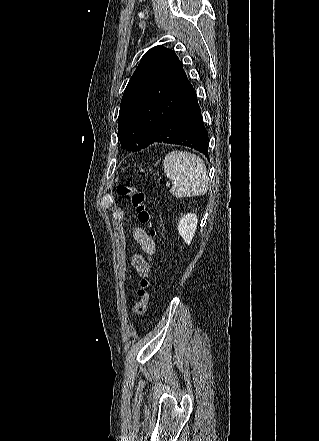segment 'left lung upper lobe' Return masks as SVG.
Returning <instances> with one entry per match:
<instances>
[{
  "label": "left lung upper lobe",
  "mask_w": 319,
  "mask_h": 441,
  "mask_svg": "<svg viewBox=\"0 0 319 441\" xmlns=\"http://www.w3.org/2000/svg\"><path fill=\"white\" fill-rule=\"evenodd\" d=\"M190 87L174 51L159 45L146 52L121 100L118 127L121 147L133 152L148 147L157 129Z\"/></svg>",
  "instance_id": "5c2ea615"
}]
</instances>
